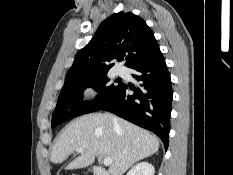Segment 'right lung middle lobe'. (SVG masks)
Instances as JSON below:
<instances>
[{
    "mask_svg": "<svg viewBox=\"0 0 233 175\" xmlns=\"http://www.w3.org/2000/svg\"><path fill=\"white\" fill-rule=\"evenodd\" d=\"M121 86L122 83L109 84L107 73L65 81L52 116V128L68 119L98 110L115 95ZM87 87L99 91L94 102L82 101L83 91Z\"/></svg>",
    "mask_w": 233,
    "mask_h": 175,
    "instance_id": "obj_1",
    "label": "right lung middle lobe"
}]
</instances>
